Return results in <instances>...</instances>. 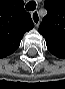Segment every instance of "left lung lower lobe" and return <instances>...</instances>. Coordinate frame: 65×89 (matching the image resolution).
Wrapping results in <instances>:
<instances>
[{"label": "left lung lower lobe", "instance_id": "1", "mask_svg": "<svg viewBox=\"0 0 65 89\" xmlns=\"http://www.w3.org/2000/svg\"><path fill=\"white\" fill-rule=\"evenodd\" d=\"M48 50L58 58H65V45L46 42Z\"/></svg>", "mask_w": 65, "mask_h": 89}]
</instances>
